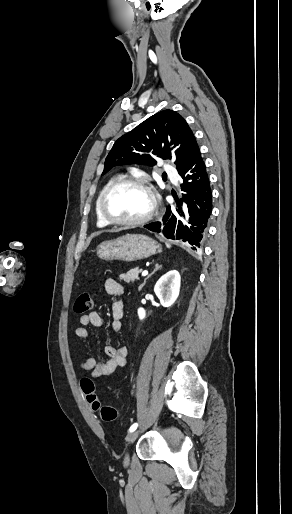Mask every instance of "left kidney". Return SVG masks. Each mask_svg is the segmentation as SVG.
Here are the masks:
<instances>
[{
  "instance_id": "left-kidney-1",
  "label": "left kidney",
  "mask_w": 292,
  "mask_h": 514,
  "mask_svg": "<svg viewBox=\"0 0 292 514\" xmlns=\"http://www.w3.org/2000/svg\"><path fill=\"white\" fill-rule=\"evenodd\" d=\"M180 282L181 278L177 270L167 272L156 282L154 292L164 308H170L176 302L180 292ZM138 316L140 320H144L146 318V310L139 308Z\"/></svg>"
}]
</instances>
